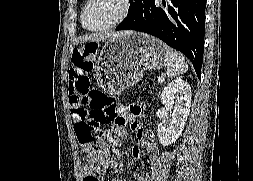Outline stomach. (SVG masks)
I'll return each mask as SVG.
<instances>
[{
	"mask_svg": "<svg viewBox=\"0 0 253 181\" xmlns=\"http://www.w3.org/2000/svg\"><path fill=\"white\" fill-rule=\"evenodd\" d=\"M167 46L150 35L131 32L105 41L98 57L97 78L108 93L117 95L136 84L145 70L166 65Z\"/></svg>",
	"mask_w": 253,
	"mask_h": 181,
	"instance_id": "obj_1",
	"label": "stomach"
}]
</instances>
